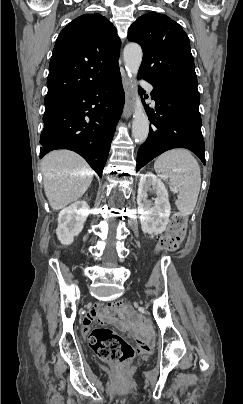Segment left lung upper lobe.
<instances>
[{
    "mask_svg": "<svg viewBox=\"0 0 243 404\" xmlns=\"http://www.w3.org/2000/svg\"><path fill=\"white\" fill-rule=\"evenodd\" d=\"M128 40L140 44L143 50L140 78L198 91L190 41L178 23L163 14L146 13L129 28Z\"/></svg>",
    "mask_w": 243,
    "mask_h": 404,
    "instance_id": "5c2ea615",
    "label": "left lung upper lobe"
}]
</instances>
